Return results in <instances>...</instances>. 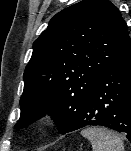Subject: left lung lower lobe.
<instances>
[{"instance_id":"0a47b994","label":"left lung lower lobe","mask_w":131,"mask_h":151,"mask_svg":"<svg viewBox=\"0 0 131 151\" xmlns=\"http://www.w3.org/2000/svg\"><path fill=\"white\" fill-rule=\"evenodd\" d=\"M88 126L121 132L131 142V50L101 73L66 133Z\"/></svg>"}]
</instances>
